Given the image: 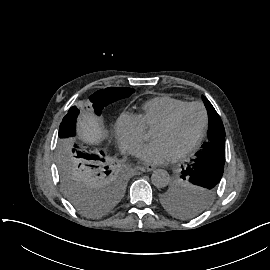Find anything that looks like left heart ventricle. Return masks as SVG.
<instances>
[{
  "mask_svg": "<svg viewBox=\"0 0 270 270\" xmlns=\"http://www.w3.org/2000/svg\"><path fill=\"white\" fill-rule=\"evenodd\" d=\"M202 123V113L198 108L186 110L177 123L170 127H155L150 140L167 142L178 155L196 139Z\"/></svg>",
  "mask_w": 270,
  "mask_h": 270,
  "instance_id": "obj_1",
  "label": "left heart ventricle"
}]
</instances>
